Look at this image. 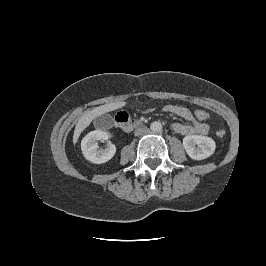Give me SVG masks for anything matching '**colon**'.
<instances>
[{
    "instance_id": "colon-1",
    "label": "colon",
    "mask_w": 266,
    "mask_h": 266,
    "mask_svg": "<svg viewBox=\"0 0 266 266\" xmlns=\"http://www.w3.org/2000/svg\"><path fill=\"white\" fill-rule=\"evenodd\" d=\"M194 116L199 121H206V120H208L210 118L209 113L207 111L201 110V109L195 110L194 111ZM225 134H226L225 130H218L216 132V135L219 138H223L225 136Z\"/></svg>"
}]
</instances>
